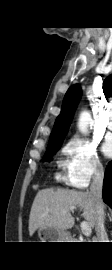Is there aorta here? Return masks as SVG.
<instances>
[{"label":"aorta","instance_id":"obj_1","mask_svg":"<svg viewBox=\"0 0 112 270\" xmlns=\"http://www.w3.org/2000/svg\"><path fill=\"white\" fill-rule=\"evenodd\" d=\"M91 114L88 111H83L79 116L78 128L82 133H87L88 125L91 122Z\"/></svg>","mask_w":112,"mask_h":270}]
</instances>
